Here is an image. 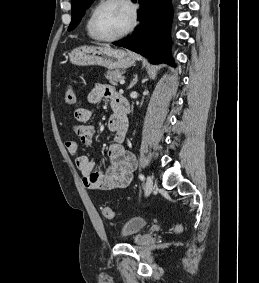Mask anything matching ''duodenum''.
Wrapping results in <instances>:
<instances>
[{"instance_id":"1","label":"duodenum","mask_w":259,"mask_h":283,"mask_svg":"<svg viewBox=\"0 0 259 283\" xmlns=\"http://www.w3.org/2000/svg\"><path fill=\"white\" fill-rule=\"evenodd\" d=\"M116 114L118 122L121 125H127V106L126 101L122 96H119L116 105Z\"/></svg>"}]
</instances>
